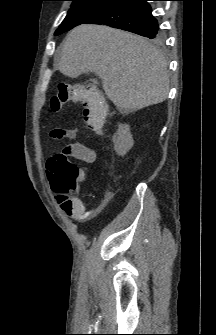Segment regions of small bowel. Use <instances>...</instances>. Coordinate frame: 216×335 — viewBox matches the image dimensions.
I'll use <instances>...</instances> for the list:
<instances>
[{"label": "small bowel", "mask_w": 216, "mask_h": 335, "mask_svg": "<svg viewBox=\"0 0 216 335\" xmlns=\"http://www.w3.org/2000/svg\"><path fill=\"white\" fill-rule=\"evenodd\" d=\"M51 137L54 139H75L79 137V132L77 129H66V128H56L52 130ZM70 150V156L84 162L87 164H93L97 160V152L94 147L91 145H85L81 143H70L66 145ZM51 167L47 166V175L50 177ZM56 195L57 201L60 205H62L63 201L60 200L58 194L53 190ZM80 204V208L78 210H73L71 212V216L75 220H84L88 217H95L97 215V211L89 212L86 210L85 204L78 198L75 199Z\"/></svg>", "instance_id": "obj_1"}]
</instances>
